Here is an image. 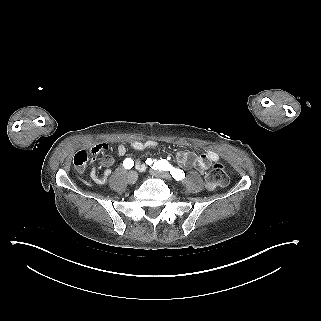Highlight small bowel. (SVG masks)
I'll return each instance as SVG.
<instances>
[{
    "label": "small bowel",
    "instance_id": "c3829d8e",
    "mask_svg": "<svg viewBox=\"0 0 321 321\" xmlns=\"http://www.w3.org/2000/svg\"><path fill=\"white\" fill-rule=\"evenodd\" d=\"M158 142L155 140H146V141H133L131 143V147L137 151H143L146 149H156L158 147ZM108 150V145L105 142H100L93 145H88L82 148L75 156L76 157H84L87 162L88 155H100L103 156L106 154ZM116 152L119 156H123L126 153V148L124 145L120 144L117 146ZM177 162L185 167V168H196L200 172H204L210 165L211 162L217 161L219 159L218 153L215 151H204L200 155H195L194 153L186 150H182L177 152L176 154ZM86 164V163H85ZM113 164L112 158L108 156H104L101 162V166L105 169L102 175H98L97 168L98 166H94L91 170V178L97 184H104L107 182L110 177L111 170L110 166ZM137 168L140 171L145 170V165L140 161H137Z\"/></svg>",
    "mask_w": 321,
    "mask_h": 321
}]
</instances>
